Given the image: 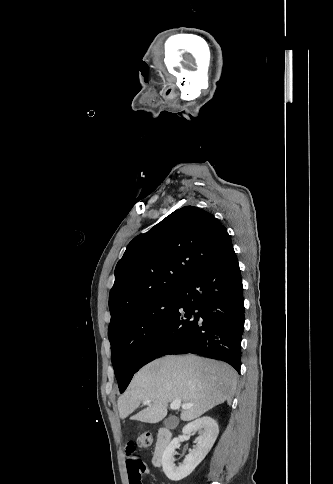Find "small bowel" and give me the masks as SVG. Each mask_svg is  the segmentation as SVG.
Returning <instances> with one entry per match:
<instances>
[{"label": "small bowel", "mask_w": 333, "mask_h": 484, "mask_svg": "<svg viewBox=\"0 0 333 484\" xmlns=\"http://www.w3.org/2000/svg\"><path fill=\"white\" fill-rule=\"evenodd\" d=\"M126 452L129 484H142L141 477L143 474L149 473V469L143 459L135 453V446L133 443L130 442L127 444Z\"/></svg>", "instance_id": "small-bowel-1"}]
</instances>
